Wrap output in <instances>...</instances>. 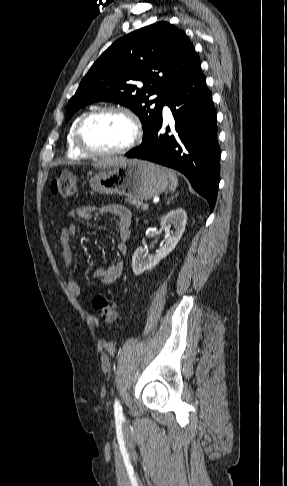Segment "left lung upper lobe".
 Segmentation results:
<instances>
[{"mask_svg": "<svg viewBox=\"0 0 287 486\" xmlns=\"http://www.w3.org/2000/svg\"><path fill=\"white\" fill-rule=\"evenodd\" d=\"M198 62L185 33L168 22L131 32L92 65L68 102L65 121L87 104L111 101L137 114L145 135L161 117L169 87ZM136 82H142L143 87H137ZM154 94L157 98L151 99Z\"/></svg>", "mask_w": 287, "mask_h": 486, "instance_id": "left-lung-upper-lobe-1", "label": "left lung upper lobe"}]
</instances>
